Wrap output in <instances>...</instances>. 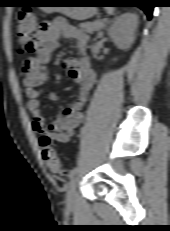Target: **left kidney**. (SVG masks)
Listing matches in <instances>:
<instances>
[{
	"mask_svg": "<svg viewBox=\"0 0 170 231\" xmlns=\"http://www.w3.org/2000/svg\"><path fill=\"white\" fill-rule=\"evenodd\" d=\"M137 25V15L132 13L122 14L110 26L108 35L118 48L127 50L135 40Z\"/></svg>",
	"mask_w": 170,
	"mask_h": 231,
	"instance_id": "1",
	"label": "left kidney"
}]
</instances>
